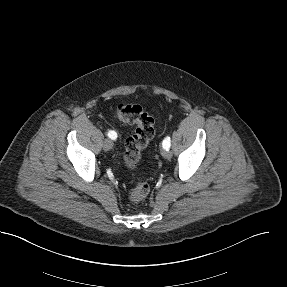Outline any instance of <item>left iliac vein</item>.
Masks as SVG:
<instances>
[{"label":"left iliac vein","mask_w":287,"mask_h":287,"mask_svg":"<svg viewBox=\"0 0 287 287\" xmlns=\"http://www.w3.org/2000/svg\"><path fill=\"white\" fill-rule=\"evenodd\" d=\"M162 156L165 159H170L172 157V152L170 150H163L162 151Z\"/></svg>","instance_id":"obj_1"}]
</instances>
